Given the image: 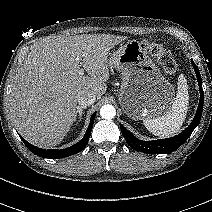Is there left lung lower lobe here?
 Returning a JSON list of instances; mask_svg holds the SVG:
<instances>
[{
  "label": "left lung lower lobe",
  "instance_id": "left-lung-lower-lobe-1",
  "mask_svg": "<svg viewBox=\"0 0 212 212\" xmlns=\"http://www.w3.org/2000/svg\"><path fill=\"white\" fill-rule=\"evenodd\" d=\"M191 63L195 70L197 80H198V85L200 89V100H199L196 115L194 119L192 120V122L190 123V125L182 133L172 138L143 141L136 138L122 124H120V128L126 142L133 149L147 153V154H165V153L175 151L188 139V137L191 135L195 127L198 125L202 115V110H203L204 93L202 89V79H201L199 69L194 64L193 60H191Z\"/></svg>",
  "mask_w": 212,
  "mask_h": 212
}]
</instances>
